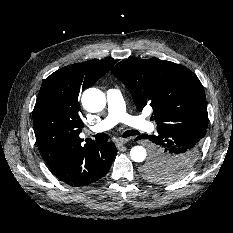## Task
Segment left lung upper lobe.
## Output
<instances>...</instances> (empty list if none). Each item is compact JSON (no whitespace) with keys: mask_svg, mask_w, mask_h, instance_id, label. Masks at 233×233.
Wrapping results in <instances>:
<instances>
[{"mask_svg":"<svg viewBox=\"0 0 233 233\" xmlns=\"http://www.w3.org/2000/svg\"><path fill=\"white\" fill-rule=\"evenodd\" d=\"M112 73L130 91L139 111L148 104L153 108L151 119L156 121L157 130L189 128L204 137L208 126L206 96L200 80L188 68L158 58H132L119 62ZM164 169L168 167L161 161L151 159L143 173L153 180L171 182L190 171H178L182 176L178 178L163 174Z\"/></svg>","mask_w":233,"mask_h":233,"instance_id":"left-lung-upper-lobe-1","label":"left lung upper lobe"}]
</instances>
